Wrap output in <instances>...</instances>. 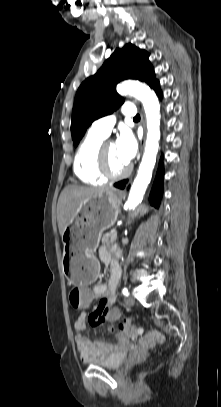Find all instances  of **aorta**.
<instances>
[{"mask_svg":"<svg viewBox=\"0 0 221 407\" xmlns=\"http://www.w3.org/2000/svg\"><path fill=\"white\" fill-rule=\"evenodd\" d=\"M117 92L121 95H132L140 100L146 114L147 138L145 150L137 176L125 203L126 209H134L143 199L156 163L160 140V104L154 91L149 86L138 81H125L119 84Z\"/></svg>","mask_w":221,"mask_h":407,"instance_id":"1","label":"aorta"}]
</instances>
